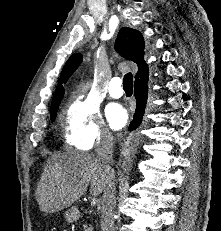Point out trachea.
<instances>
[{"label": "trachea", "mask_w": 221, "mask_h": 231, "mask_svg": "<svg viewBox=\"0 0 221 231\" xmlns=\"http://www.w3.org/2000/svg\"><path fill=\"white\" fill-rule=\"evenodd\" d=\"M123 88L125 91L133 90V76L132 73H127L123 78Z\"/></svg>", "instance_id": "1"}]
</instances>
